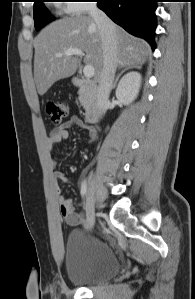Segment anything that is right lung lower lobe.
<instances>
[{
  "label": "right lung lower lobe",
  "instance_id": "right-lung-lower-lobe-1",
  "mask_svg": "<svg viewBox=\"0 0 195 299\" xmlns=\"http://www.w3.org/2000/svg\"><path fill=\"white\" fill-rule=\"evenodd\" d=\"M158 0H97V6L115 23L155 48L154 35Z\"/></svg>",
  "mask_w": 195,
  "mask_h": 299
}]
</instances>
